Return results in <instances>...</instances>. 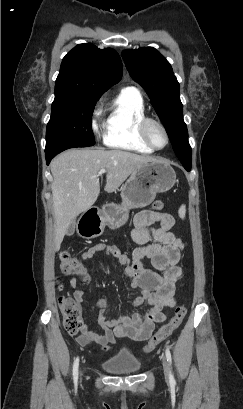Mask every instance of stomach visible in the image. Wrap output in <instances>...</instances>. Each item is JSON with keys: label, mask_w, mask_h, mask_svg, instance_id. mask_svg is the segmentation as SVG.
<instances>
[{"label": "stomach", "mask_w": 243, "mask_h": 409, "mask_svg": "<svg viewBox=\"0 0 243 409\" xmlns=\"http://www.w3.org/2000/svg\"><path fill=\"white\" fill-rule=\"evenodd\" d=\"M176 183V173L166 162L151 161L137 168L123 185L122 204H107L86 225L79 227V235L84 238L100 236L105 226L117 229L129 218V210L143 208L151 204L157 193L170 190Z\"/></svg>", "instance_id": "stomach-1"}]
</instances>
